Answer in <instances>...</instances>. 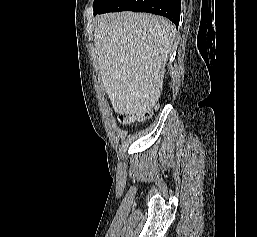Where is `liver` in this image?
<instances>
[{"label": "liver", "mask_w": 257, "mask_h": 237, "mask_svg": "<svg viewBox=\"0 0 257 237\" xmlns=\"http://www.w3.org/2000/svg\"><path fill=\"white\" fill-rule=\"evenodd\" d=\"M176 29L151 14L120 12L97 18L95 54L112 107L142 114L157 103Z\"/></svg>", "instance_id": "1"}]
</instances>
